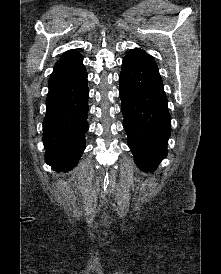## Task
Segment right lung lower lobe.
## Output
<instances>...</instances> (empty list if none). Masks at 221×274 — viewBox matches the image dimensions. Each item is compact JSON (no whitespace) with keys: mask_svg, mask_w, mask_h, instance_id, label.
I'll list each match as a JSON object with an SVG mask.
<instances>
[{"mask_svg":"<svg viewBox=\"0 0 221 274\" xmlns=\"http://www.w3.org/2000/svg\"><path fill=\"white\" fill-rule=\"evenodd\" d=\"M43 121L45 162L57 172L71 170L85 149L88 86L83 58L53 70Z\"/></svg>","mask_w":221,"mask_h":274,"instance_id":"98d812e1","label":"right lung lower lobe"}]
</instances>
